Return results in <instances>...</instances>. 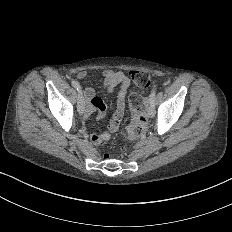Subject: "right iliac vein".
<instances>
[{"instance_id":"right-iliac-vein-1","label":"right iliac vein","mask_w":232,"mask_h":232,"mask_svg":"<svg viewBox=\"0 0 232 232\" xmlns=\"http://www.w3.org/2000/svg\"><path fill=\"white\" fill-rule=\"evenodd\" d=\"M76 109H78L79 113H82L84 110V98L82 94H78Z\"/></svg>"}]
</instances>
